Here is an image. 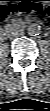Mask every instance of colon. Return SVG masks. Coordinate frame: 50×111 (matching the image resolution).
Returning a JSON list of instances; mask_svg holds the SVG:
<instances>
[{
	"instance_id": "colon-1",
	"label": "colon",
	"mask_w": 50,
	"mask_h": 111,
	"mask_svg": "<svg viewBox=\"0 0 50 111\" xmlns=\"http://www.w3.org/2000/svg\"><path fill=\"white\" fill-rule=\"evenodd\" d=\"M30 13L48 16L50 8L43 0H13V2L1 7L0 18L4 20L10 16Z\"/></svg>"
}]
</instances>
